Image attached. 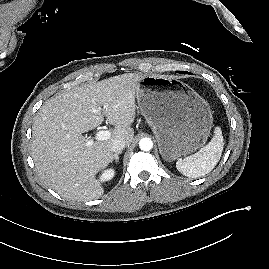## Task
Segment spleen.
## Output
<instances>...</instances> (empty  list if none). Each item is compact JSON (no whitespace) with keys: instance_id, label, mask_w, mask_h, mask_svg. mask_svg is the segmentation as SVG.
I'll return each instance as SVG.
<instances>
[{"instance_id":"3e777b00","label":"spleen","mask_w":269,"mask_h":269,"mask_svg":"<svg viewBox=\"0 0 269 269\" xmlns=\"http://www.w3.org/2000/svg\"><path fill=\"white\" fill-rule=\"evenodd\" d=\"M224 146V139L220 127L214 130L211 141L198 152L184 159H178L176 168L183 175L197 178L211 172L219 162Z\"/></svg>"}]
</instances>
